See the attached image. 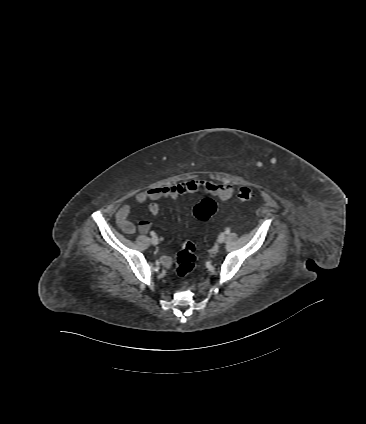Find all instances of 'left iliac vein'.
I'll list each match as a JSON object with an SVG mask.
<instances>
[{"label":"left iliac vein","mask_w":366,"mask_h":424,"mask_svg":"<svg viewBox=\"0 0 366 424\" xmlns=\"http://www.w3.org/2000/svg\"><path fill=\"white\" fill-rule=\"evenodd\" d=\"M225 238H226L225 233H221V234L218 236V239H217L218 243H223V242L225 241Z\"/></svg>","instance_id":"4c4485c4"}]
</instances>
